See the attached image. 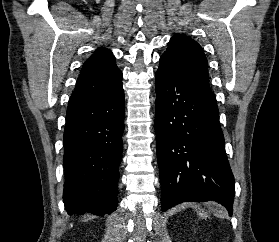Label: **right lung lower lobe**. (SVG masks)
Segmentation results:
<instances>
[{
  "mask_svg": "<svg viewBox=\"0 0 279 242\" xmlns=\"http://www.w3.org/2000/svg\"><path fill=\"white\" fill-rule=\"evenodd\" d=\"M124 115L123 86L68 104L63 201L69 215H105L116 210Z\"/></svg>",
  "mask_w": 279,
  "mask_h": 242,
  "instance_id": "98d812e1",
  "label": "right lung lower lobe"
}]
</instances>
